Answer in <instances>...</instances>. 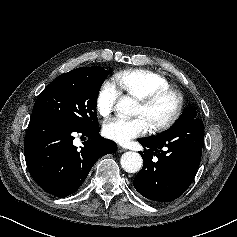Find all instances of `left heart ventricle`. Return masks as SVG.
<instances>
[{
    "mask_svg": "<svg viewBox=\"0 0 237 237\" xmlns=\"http://www.w3.org/2000/svg\"><path fill=\"white\" fill-rule=\"evenodd\" d=\"M175 100L173 97H165L150 108L144 107L140 102L137 103L134 115L143 117L148 125L167 118L173 111Z\"/></svg>",
    "mask_w": 237,
    "mask_h": 237,
    "instance_id": "b2bd125f",
    "label": "left heart ventricle"
}]
</instances>
